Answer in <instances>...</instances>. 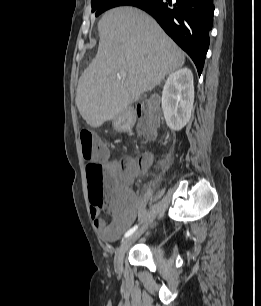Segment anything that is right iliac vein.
Wrapping results in <instances>:
<instances>
[{"label": "right iliac vein", "instance_id": "63e3f726", "mask_svg": "<svg viewBox=\"0 0 261 306\" xmlns=\"http://www.w3.org/2000/svg\"><path fill=\"white\" fill-rule=\"evenodd\" d=\"M147 226L142 227L132 235L128 236L125 240L122 241L120 246L117 248L114 256V268L120 270L123 265V259L126 251L129 247L143 234Z\"/></svg>", "mask_w": 261, "mask_h": 306}]
</instances>
